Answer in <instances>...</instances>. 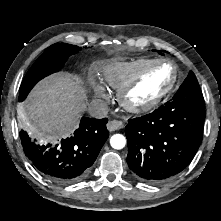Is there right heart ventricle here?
Returning <instances> with one entry per match:
<instances>
[{"label":"right heart ventricle","mask_w":221,"mask_h":221,"mask_svg":"<svg viewBox=\"0 0 221 221\" xmlns=\"http://www.w3.org/2000/svg\"><path fill=\"white\" fill-rule=\"evenodd\" d=\"M151 61L149 58H139L110 63L102 69L101 79L107 87L119 90Z\"/></svg>","instance_id":"1"}]
</instances>
